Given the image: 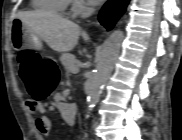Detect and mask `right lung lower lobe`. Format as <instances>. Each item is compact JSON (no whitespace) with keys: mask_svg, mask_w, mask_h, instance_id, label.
Here are the masks:
<instances>
[{"mask_svg":"<svg viewBox=\"0 0 182 140\" xmlns=\"http://www.w3.org/2000/svg\"><path fill=\"white\" fill-rule=\"evenodd\" d=\"M129 0H109L102 8L99 21L108 30L112 29L117 20L125 12Z\"/></svg>","mask_w":182,"mask_h":140,"instance_id":"98d812e1","label":"right lung lower lobe"}]
</instances>
